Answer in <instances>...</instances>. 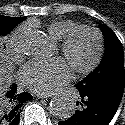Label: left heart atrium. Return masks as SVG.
<instances>
[{"label":"left heart atrium","mask_w":125,"mask_h":125,"mask_svg":"<svg viewBox=\"0 0 125 125\" xmlns=\"http://www.w3.org/2000/svg\"><path fill=\"white\" fill-rule=\"evenodd\" d=\"M21 84L33 92L48 94L57 90L71 78V68L61 59L32 61L20 71Z\"/></svg>","instance_id":"obj_1"}]
</instances>
